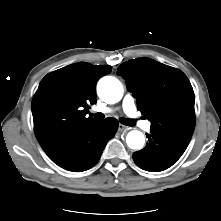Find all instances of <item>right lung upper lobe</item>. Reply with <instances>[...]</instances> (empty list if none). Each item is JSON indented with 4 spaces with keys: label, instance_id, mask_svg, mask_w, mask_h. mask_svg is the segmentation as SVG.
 <instances>
[{
    "label": "right lung upper lobe",
    "instance_id": "obj_1",
    "mask_svg": "<svg viewBox=\"0 0 221 221\" xmlns=\"http://www.w3.org/2000/svg\"><path fill=\"white\" fill-rule=\"evenodd\" d=\"M111 72L110 65L78 62L47 74L32 100L34 132L47 152L70 132L95 122L86 117L96 103V83Z\"/></svg>",
    "mask_w": 221,
    "mask_h": 221
}]
</instances>
